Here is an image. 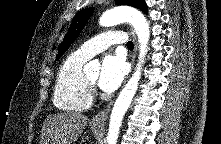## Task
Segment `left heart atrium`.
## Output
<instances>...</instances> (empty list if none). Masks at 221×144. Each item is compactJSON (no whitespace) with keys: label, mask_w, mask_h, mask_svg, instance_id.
I'll list each match as a JSON object with an SVG mask.
<instances>
[{"label":"left heart atrium","mask_w":221,"mask_h":144,"mask_svg":"<svg viewBox=\"0 0 221 144\" xmlns=\"http://www.w3.org/2000/svg\"><path fill=\"white\" fill-rule=\"evenodd\" d=\"M127 73L125 60L119 55H107L102 60L98 79L99 87L105 92L116 90Z\"/></svg>","instance_id":"39dd6f15"}]
</instances>
